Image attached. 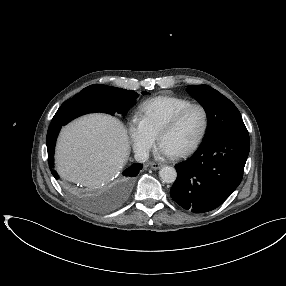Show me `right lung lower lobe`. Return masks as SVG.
<instances>
[{"mask_svg":"<svg viewBox=\"0 0 286 286\" xmlns=\"http://www.w3.org/2000/svg\"><path fill=\"white\" fill-rule=\"evenodd\" d=\"M63 126L62 123L52 121L48 132H47V138H46V143H47V151H48V163L50 166V170L52 175L56 178L59 179V176L57 172L53 169L54 167V149H55V143L57 139V135ZM142 169V165L139 163L133 164L129 168L123 171L124 181L125 183H129L131 179L139 173V170Z\"/></svg>","mask_w":286,"mask_h":286,"instance_id":"right-lung-lower-lobe-1","label":"right lung lower lobe"}]
</instances>
